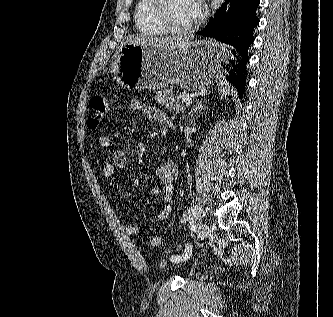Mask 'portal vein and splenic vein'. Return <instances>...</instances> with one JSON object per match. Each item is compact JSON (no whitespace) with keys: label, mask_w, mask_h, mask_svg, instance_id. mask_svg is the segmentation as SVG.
<instances>
[{"label":"portal vein and splenic vein","mask_w":333,"mask_h":317,"mask_svg":"<svg viewBox=\"0 0 333 317\" xmlns=\"http://www.w3.org/2000/svg\"><path fill=\"white\" fill-rule=\"evenodd\" d=\"M182 101L183 104L185 105H191L192 104V99L191 98H187V97H184V96H180L179 97Z\"/></svg>","instance_id":"portal-vein-and-splenic-vein-1"}]
</instances>
